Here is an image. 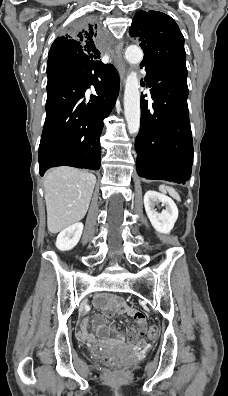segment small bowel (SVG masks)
I'll use <instances>...</instances> for the list:
<instances>
[{"label": "small bowel", "instance_id": "small-bowel-1", "mask_svg": "<svg viewBox=\"0 0 228 396\" xmlns=\"http://www.w3.org/2000/svg\"><path fill=\"white\" fill-rule=\"evenodd\" d=\"M95 305L102 311V315H98L94 319V327L98 333L101 335H106L113 328L105 323V318H110L114 314L128 313L130 316L134 317L138 323V329L129 328L125 336L117 333V338L119 341L126 339L129 343L134 345H143V336L146 334V324L145 316L140 311L130 308L124 300L119 296L113 295H102L96 298ZM81 339H89L91 336L86 330V324L83 323L79 333Z\"/></svg>", "mask_w": 228, "mask_h": 396}]
</instances>
